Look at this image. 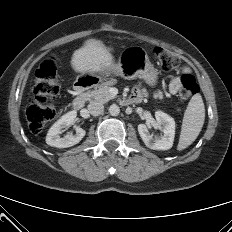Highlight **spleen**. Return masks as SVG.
<instances>
[{
  "label": "spleen",
  "mask_w": 232,
  "mask_h": 232,
  "mask_svg": "<svg viewBox=\"0 0 232 232\" xmlns=\"http://www.w3.org/2000/svg\"><path fill=\"white\" fill-rule=\"evenodd\" d=\"M205 120V107L200 94H195L184 113L177 150L191 145L198 137Z\"/></svg>",
  "instance_id": "spleen-1"
}]
</instances>
